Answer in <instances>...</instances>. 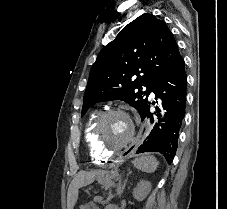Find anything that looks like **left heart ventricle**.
Here are the masks:
<instances>
[{
    "mask_svg": "<svg viewBox=\"0 0 227 209\" xmlns=\"http://www.w3.org/2000/svg\"><path fill=\"white\" fill-rule=\"evenodd\" d=\"M130 133L128 120L122 115H114L104 123L101 138L107 147L112 148L125 142Z\"/></svg>",
    "mask_w": 227,
    "mask_h": 209,
    "instance_id": "b2bd125f",
    "label": "left heart ventricle"
}]
</instances>
